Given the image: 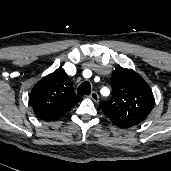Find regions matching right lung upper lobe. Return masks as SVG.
Instances as JSON below:
<instances>
[{"mask_svg":"<svg viewBox=\"0 0 171 171\" xmlns=\"http://www.w3.org/2000/svg\"><path fill=\"white\" fill-rule=\"evenodd\" d=\"M81 100L62 67L41 79L30 93L35 115L45 121L60 118Z\"/></svg>","mask_w":171,"mask_h":171,"instance_id":"cb5924a9","label":"right lung upper lobe"}]
</instances>
